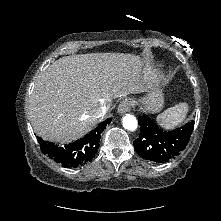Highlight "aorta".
Wrapping results in <instances>:
<instances>
[{"mask_svg":"<svg viewBox=\"0 0 221 221\" xmlns=\"http://www.w3.org/2000/svg\"><path fill=\"white\" fill-rule=\"evenodd\" d=\"M123 127L127 130L134 131L137 129L138 123L133 115H125L122 119Z\"/></svg>","mask_w":221,"mask_h":221,"instance_id":"762f6f07","label":"aorta"}]
</instances>
